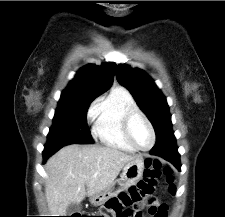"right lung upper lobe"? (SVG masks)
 <instances>
[{"label": "right lung upper lobe", "instance_id": "obj_1", "mask_svg": "<svg viewBox=\"0 0 225 217\" xmlns=\"http://www.w3.org/2000/svg\"><path fill=\"white\" fill-rule=\"evenodd\" d=\"M115 69L114 63L88 64L77 72L61 96L97 97L110 88Z\"/></svg>", "mask_w": 225, "mask_h": 217}]
</instances>
